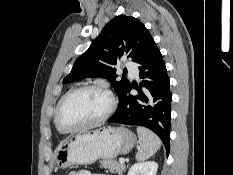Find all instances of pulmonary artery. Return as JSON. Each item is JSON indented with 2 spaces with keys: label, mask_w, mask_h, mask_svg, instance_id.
I'll return each instance as SVG.
<instances>
[{
  "label": "pulmonary artery",
  "mask_w": 233,
  "mask_h": 175,
  "mask_svg": "<svg viewBox=\"0 0 233 175\" xmlns=\"http://www.w3.org/2000/svg\"><path fill=\"white\" fill-rule=\"evenodd\" d=\"M126 68L128 69V71L130 72V74L133 77H137L138 76V70L136 65L133 62H126L125 63Z\"/></svg>",
  "instance_id": "1"
}]
</instances>
